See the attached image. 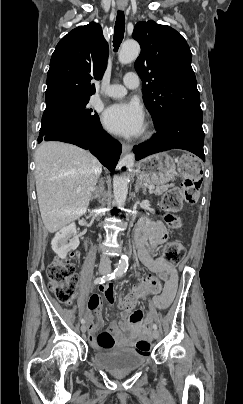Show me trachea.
Returning a JSON list of instances; mask_svg holds the SVG:
<instances>
[{
	"mask_svg": "<svg viewBox=\"0 0 243 404\" xmlns=\"http://www.w3.org/2000/svg\"><path fill=\"white\" fill-rule=\"evenodd\" d=\"M124 33H125V16L124 12L118 10L117 12V18L115 22V28H114V37H113V47H114V52H117L121 42L124 38Z\"/></svg>",
	"mask_w": 243,
	"mask_h": 404,
	"instance_id": "obj_1",
	"label": "trachea"
}]
</instances>
